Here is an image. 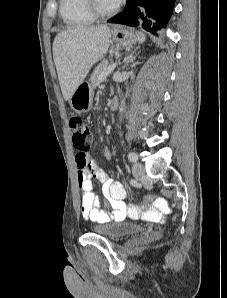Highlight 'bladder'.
<instances>
[{"label": "bladder", "instance_id": "31cf9c89", "mask_svg": "<svg viewBox=\"0 0 227 298\" xmlns=\"http://www.w3.org/2000/svg\"><path fill=\"white\" fill-rule=\"evenodd\" d=\"M91 230L108 239H118L124 236L142 232L144 227L131 221H107L95 223Z\"/></svg>", "mask_w": 227, "mask_h": 298}]
</instances>
